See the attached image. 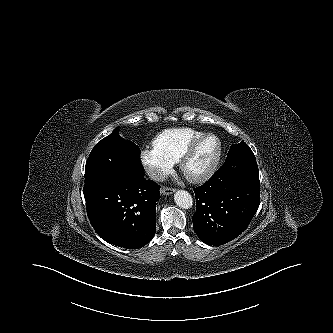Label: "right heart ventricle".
Segmentation results:
<instances>
[{
    "label": "right heart ventricle",
    "instance_id": "1",
    "mask_svg": "<svg viewBox=\"0 0 333 333\" xmlns=\"http://www.w3.org/2000/svg\"><path fill=\"white\" fill-rule=\"evenodd\" d=\"M202 135L204 132L191 128L169 129L160 133L152 145L156 152L176 163L189 145Z\"/></svg>",
    "mask_w": 333,
    "mask_h": 333
}]
</instances>
